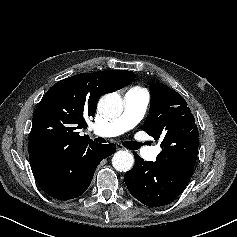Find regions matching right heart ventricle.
<instances>
[{
    "label": "right heart ventricle",
    "instance_id": "right-heart-ventricle-1",
    "mask_svg": "<svg viewBox=\"0 0 237 237\" xmlns=\"http://www.w3.org/2000/svg\"><path fill=\"white\" fill-rule=\"evenodd\" d=\"M137 90H140V91H143L142 89H140V88H136Z\"/></svg>",
    "mask_w": 237,
    "mask_h": 237
}]
</instances>
